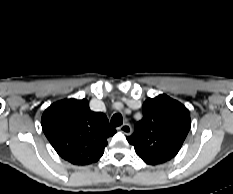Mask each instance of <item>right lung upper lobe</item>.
<instances>
[{"label":"right lung upper lobe","instance_id":"obj_1","mask_svg":"<svg viewBox=\"0 0 233 194\" xmlns=\"http://www.w3.org/2000/svg\"><path fill=\"white\" fill-rule=\"evenodd\" d=\"M41 124L56 152L74 165L98 161L107 138L116 133L105 114L91 111L86 99H65L52 104L43 113Z\"/></svg>","mask_w":233,"mask_h":194}]
</instances>
